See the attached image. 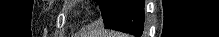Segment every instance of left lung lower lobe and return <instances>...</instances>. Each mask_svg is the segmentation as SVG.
Instances as JSON below:
<instances>
[{"label":"left lung lower lobe","mask_w":219,"mask_h":37,"mask_svg":"<svg viewBox=\"0 0 219 37\" xmlns=\"http://www.w3.org/2000/svg\"><path fill=\"white\" fill-rule=\"evenodd\" d=\"M144 21L143 0H122L105 28L141 37L145 29Z\"/></svg>","instance_id":"0a47b994"}]
</instances>
